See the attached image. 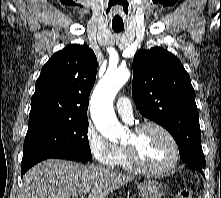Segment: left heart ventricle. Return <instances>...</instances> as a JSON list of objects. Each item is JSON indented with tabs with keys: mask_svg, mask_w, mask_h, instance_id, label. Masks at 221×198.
Returning <instances> with one entry per match:
<instances>
[{
	"mask_svg": "<svg viewBox=\"0 0 221 198\" xmlns=\"http://www.w3.org/2000/svg\"><path fill=\"white\" fill-rule=\"evenodd\" d=\"M125 144H133L140 161L147 167L161 168L173 157V148L169 139L159 130L149 128L134 136L130 133Z\"/></svg>",
	"mask_w": 221,
	"mask_h": 198,
	"instance_id": "b2bd125f",
	"label": "left heart ventricle"
}]
</instances>
